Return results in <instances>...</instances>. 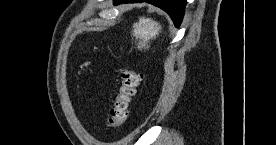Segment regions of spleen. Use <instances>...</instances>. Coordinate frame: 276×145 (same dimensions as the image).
Segmentation results:
<instances>
[{"instance_id": "1", "label": "spleen", "mask_w": 276, "mask_h": 145, "mask_svg": "<svg viewBox=\"0 0 276 145\" xmlns=\"http://www.w3.org/2000/svg\"><path fill=\"white\" fill-rule=\"evenodd\" d=\"M161 31V26L151 18L141 17L137 23L133 25L132 34L138 41V49H148L149 41L155 39Z\"/></svg>"}]
</instances>
